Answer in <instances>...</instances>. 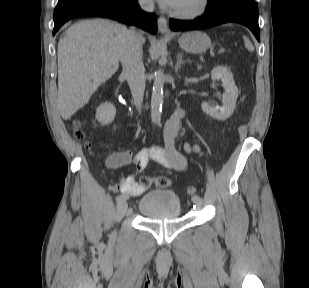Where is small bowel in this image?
Segmentation results:
<instances>
[{"label": "small bowel", "instance_id": "1", "mask_svg": "<svg viewBox=\"0 0 309 288\" xmlns=\"http://www.w3.org/2000/svg\"><path fill=\"white\" fill-rule=\"evenodd\" d=\"M184 111L176 109L168 119L164 129V147H150L140 150L137 154L131 151H120L112 155L110 163L115 166L133 165L136 171L143 170L152 160L166 169L181 172L187 169L186 157L175 147V139L179 133L180 122ZM187 152H197L199 148L188 143L185 144ZM150 186L138 183L133 175L126 177L118 187L121 192L131 195H141Z\"/></svg>", "mask_w": 309, "mask_h": 288}]
</instances>
